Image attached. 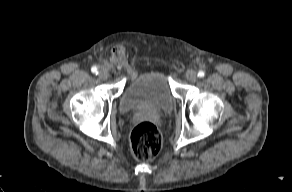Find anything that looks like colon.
Wrapping results in <instances>:
<instances>
[{"mask_svg": "<svg viewBox=\"0 0 292 192\" xmlns=\"http://www.w3.org/2000/svg\"><path fill=\"white\" fill-rule=\"evenodd\" d=\"M162 146V138L157 127L143 121L136 124L131 132V148L138 161H149L156 157Z\"/></svg>", "mask_w": 292, "mask_h": 192, "instance_id": "obj_1", "label": "colon"}]
</instances>
